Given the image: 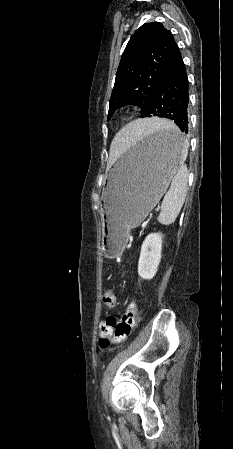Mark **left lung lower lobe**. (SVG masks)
I'll use <instances>...</instances> for the list:
<instances>
[{
  "mask_svg": "<svg viewBox=\"0 0 233 449\" xmlns=\"http://www.w3.org/2000/svg\"><path fill=\"white\" fill-rule=\"evenodd\" d=\"M188 78L183 60H181L163 78L153 94L152 102L143 117L158 116L170 119L184 133H188ZM157 139L171 147L180 146L184 137L163 133Z\"/></svg>",
  "mask_w": 233,
  "mask_h": 449,
  "instance_id": "obj_1",
  "label": "left lung lower lobe"
}]
</instances>
